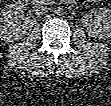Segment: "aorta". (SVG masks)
Here are the masks:
<instances>
[{
	"mask_svg": "<svg viewBox=\"0 0 111 106\" xmlns=\"http://www.w3.org/2000/svg\"><path fill=\"white\" fill-rule=\"evenodd\" d=\"M55 13L57 14V15H63L64 14V9L63 8H61V7H59V8H57L56 10H55Z\"/></svg>",
	"mask_w": 111,
	"mask_h": 106,
	"instance_id": "1",
	"label": "aorta"
}]
</instances>
